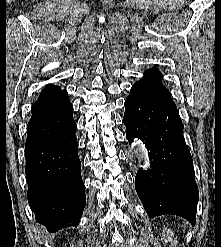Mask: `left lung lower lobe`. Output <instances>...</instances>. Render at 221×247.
<instances>
[{"label": "left lung lower lobe", "mask_w": 221, "mask_h": 247, "mask_svg": "<svg viewBox=\"0 0 221 247\" xmlns=\"http://www.w3.org/2000/svg\"><path fill=\"white\" fill-rule=\"evenodd\" d=\"M124 105L129 143L140 138L149 150L151 168L139 170L135 177V189L148 216L173 214L194 225L199 193L175 104L132 86Z\"/></svg>", "instance_id": "obj_1"}]
</instances>
